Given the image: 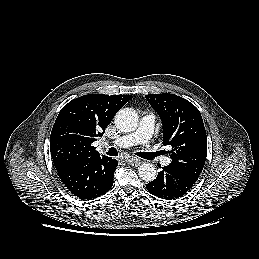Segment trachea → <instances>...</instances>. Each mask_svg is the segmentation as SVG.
Returning <instances> with one entry per match:
<instances>
[{"instance_id": "trachea-1", "label": "trachea", "mask_w": 259, "mask_h": 259, "mask_svg": "<svg viewBox=\"0 0 259 259\" xmlns=\"http://www.w3.org/2000/svg\"><path fill=\"white\" fill-rule=\"evenodd\" d=\"M162 152H157V153H148V152H139L137 153L138 156L146 158V159H153L154 157L161 155ZM107 155L109 156H117L118 155V151L114 148L111 147L108 151H107Z\"/></svg>"}]
</instances>
